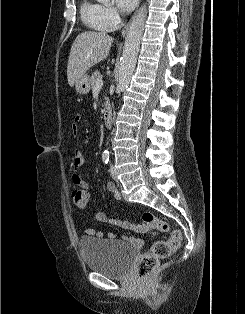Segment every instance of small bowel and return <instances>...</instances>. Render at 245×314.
Instances as JSON below:
<instances>
[{"label":"small bowel","mask_w":245,"mask_h":314,"mask_svg":"<svg viewBox=\"0 0 245 314\" xmlns=\"http://www.w3.org/2000/svg\"><path fill=\"white\" fill-rule=\"evenodd\" d=\"M81 117L77 115L74 118V123L72 125V131L76 135L78 133V123L80 122ZM84 153L82 151L76 150L73 155V161H72V166H71V179L72 182L81 187L82 189H89V183L85 181L84 179L81 178L80 176V171L82 164L84 162ZM107 189L114 194L115 199L120 200L121 195L117 191L115 185L113 183H108L107 184ZM94 220L99 222V223H110L113 225L120 226L124 229L127 230H132V231H137V232H144L140 229V225H135V228L131 227V223L128 221H123L119 219H109L104 212H95L94 213ZM84 235L85 236H97V237H103L107 236L110 239H116L117 236L113 234L112 232H105V231H95L92 228H86L84 230ZM124 240L129 242L130 244L141 247L144 244V240L142 238L136 237L135 235L128 233L127 235L124 236Z\"/></svg>","instance_id":"small-bowel-1"}]
</instances>
